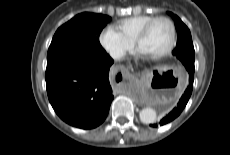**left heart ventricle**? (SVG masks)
Returning a JSON list of instances; mask_svg holds the SVG:
<instances>
[{"label": "left heart ventricle", "mask_w": 230, "mask_h": 155, "mask_svg": "<svg viewBox=\"0 0 230 155\" xmlns=\"http://www.w3.org/2000/svg\"><path fill=\"white\" fill-rule=\"evenodd\" d=\"M171 35V27L168 22L157 21L141 41L139 49L147 55L160 53L169 46Z\"/></svg>", "instance_id": "obj_1"}]
</instances>
